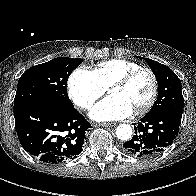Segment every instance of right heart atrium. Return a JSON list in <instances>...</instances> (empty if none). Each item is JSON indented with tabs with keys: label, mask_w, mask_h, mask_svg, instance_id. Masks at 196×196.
<instances>
[{
	"label": "right heart atrium",
	"mask_w": 196,
	"mask_h": 196,
	"mask_svg": "<svg viewBox=\"0 0 196 196\" xmlns=\"http://www.w3.org/2000/svg\"><path fill=\"white\" fill-rule=\"evenodd\" d=\"M105 91L93 71L84 67L76 68L68 79L69 96L82 109H90Z\"/></svg>",
	"instance_id": "d8ad5b80"
}]
</instances>
